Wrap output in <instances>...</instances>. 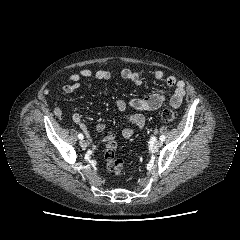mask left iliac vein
<instances>
[{"mask_svg":"<svg viewBox=\"0 0 240 240\" xmlns=\"http://www.w3.org/2000/svg\"><path fill=\"white\" fill-rule=\"evenodd\" d=\"M163 145V142L161 140H158L155 142V147L160 148Z\"/></svg>","mask_w":240,"mask_h":240,"instance_id":"obj_1","label":"left iliac vein"}]
</instances>
